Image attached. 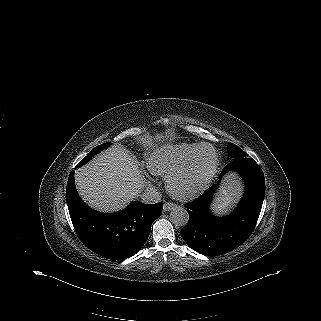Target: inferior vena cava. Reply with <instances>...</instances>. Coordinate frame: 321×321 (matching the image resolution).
<instances>
[{
    "instance_id": "obj_1",
    "label": "inferior vena cava",
    "mask_w": 321,
    "mask_h": 321,
    "mask_svg": "<svg viewBox=\"0 0 321 321\" xmlns=\"http://www.w3.org/2000/svg\"><path fill=\"white\" fill-rule=\"evenodd\" d=\"M162 194L154 187H147L141 194V200L145 204H154L161 200Z\"/></svg>"
}]
</instances>
